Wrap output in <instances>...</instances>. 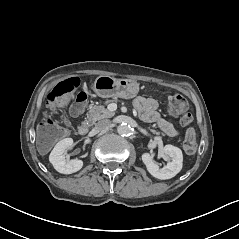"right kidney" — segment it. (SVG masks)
I'll use <instances>...</instances> for the list:
<instances>
[{
	"label": "right kidney",
	"mask_w": 239,
	"mask_h": 239,
	"mask_svg": "<svg viewBox=\"0 0 239 239\" xmlns=\"http://www.w3.org/2000/svg\"><path fill=\"white\" fill-rule=\"evenodd\" d=\"M73 147V139L65 138L59 141L49 155V161L56 171L62 174H71L79 171L83 166V161L74 159L66 160L65 153Z\"/></svg>",
	"instance_id": "right-kidney-1"
}]
</instances>
